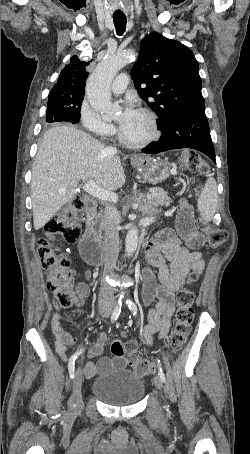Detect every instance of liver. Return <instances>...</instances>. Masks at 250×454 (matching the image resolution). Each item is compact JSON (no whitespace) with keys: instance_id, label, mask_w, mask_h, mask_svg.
I'll return each instance as SVG.
<instances>
[{"instance_id":"liver-1","label":"liver","mask_w":250,"mask_h":454,"mask_svg":"<svg viewBox=\"0 0 250 454\" xmlns=\"http://www.w3.org/2000/svg\"><path fill=\"white\" fill-rule=\"evenodd\" d=\"M80 180H94L106 191L125 184L120 156L71 126H56L43 136L34 159L31 199L34 229L39 230L76 195Z\"/></svg>"}]
</instances>
